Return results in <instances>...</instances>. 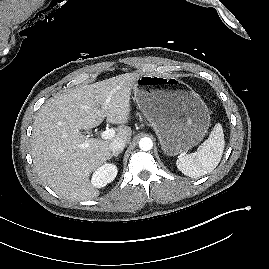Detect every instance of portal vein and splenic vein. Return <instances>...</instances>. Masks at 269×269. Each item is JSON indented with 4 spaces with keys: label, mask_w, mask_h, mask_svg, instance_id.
Listing matches in <instances>:
<instances>
[{
    "label": "portal vein and splenic vein",
    "mask_w": 269,
    "mask_h": 269,
    "mask_svg": "<svg viewBox=\"0 0 269 269\" xmlns=\"http://www.w3.org/2000/svg\"><path fill=\"white\" fill-rule=\"evenodd\" d=\"M101 138L104 140L111 139L115 136V130L114 129H107L103 131L101 134Z\"/></svg>",
    "instance_id": "18ae733b"
}]
</instances>
